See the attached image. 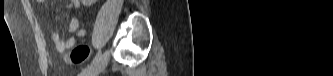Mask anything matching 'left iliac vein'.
Listing matches in <instances>:
<instances>
[{
    "label": "left iliac vein",
    "mask_w": 333,
    "mask_h": 76,
    "mask_svg": "<svg viewBox=\"0 0 333 76\" xmlns=\"http://www.w3.org/2000/svg\"><path fill=\"white\" fill-rule=\"evenodd\" d=\"M110 59V51L106 50L101 57L95 62L91 67L84 70L80 76H97L99 75L107 66Z\"/></svg>",
    "instance_id": "left-iliac-vein-1"
}]
</instances>
